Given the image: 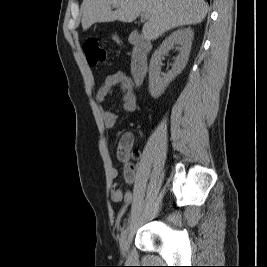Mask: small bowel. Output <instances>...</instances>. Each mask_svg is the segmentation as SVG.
Returning a JSON list of instances; mask_svg holds the SVG:
<instances>
[{
  "label": "small bowel",
  "mask_w": 267,
  "mask_h": 267,
  "mask_svg": "<svg viewBox=\"0 0 267 267\" xmlns=\"http://www.w3.org/2000/svg\"><path fill=\"white\" fill-rule=\"evenodd\" d=\"M117 86L122 93L123 110L126 112H134L137 108L134 82L126 73L121 71L113 73L105 78L103 84L96 92V100L100 103L104 102L108 94ZM102 117L105 128L111 129L115 127L117 122L116 113L104 111ZM110 173L113 179L119 176V172L116 168H112ZM124 180L128 185H133L136 182L135 167L131 163H126L124 166ZM111 198L114 202L130 204L133 199V194L130 191L124 192L117 185H114L111 191Z\"/></svg>",
  "instance_id": "c3829d8e"
}]
</instances>
